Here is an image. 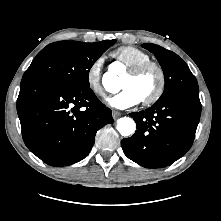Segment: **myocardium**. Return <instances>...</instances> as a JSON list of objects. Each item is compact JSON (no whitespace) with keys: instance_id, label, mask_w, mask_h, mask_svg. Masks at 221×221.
<instances>
[{"instance_id":"obj_1","label":"myocardium","mask_w":221,"mask_h":221,"mask_svg":"<svg viewBox=\"0 0 221 221\" xmlns=\"http://www.w3.org/2000/svg\"><path fill=\"white\" fill-rule=\"evenodd\" d=\"M155 69L157 71L158 74V83L157 86L155 88V90L153 91V93L148 96L147 98H144L143 100H141L143 105H152L154 103H156L163 95L165 88H166V74H165V70L162 67V65L156 61L153 60H147L141 63H138L134 66H131L128 68L127 73L132 75V76H137L142 74L143 72H145L148 69Z\"/></svg>"}]
</instances>
